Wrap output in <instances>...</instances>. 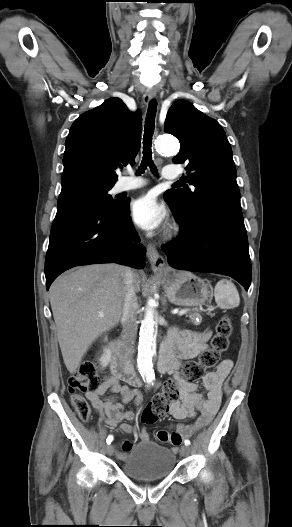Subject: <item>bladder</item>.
Segmentation results:
<instances>
[{
  "instance_id": "obj_1",
  "label": "bladder",
  "mask_w": 292,
  "mask_h": 527,
  "mask_svg": "<svg viewBox=\"0 0 292 527\" xmlns=\"http://www.w3.org/2000/svg\"><path fill=\"white\" fill-rule=\"evenodd\" d=\"M175 454L152 441L142 442L122 456L121 471L136 480H157L169 476L175 468Z\"/></svg>"
}]
</instances>
